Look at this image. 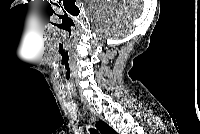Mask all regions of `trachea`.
<instances>
[{
	"label": "trachea",
	"instance_id": "trachea-1",
	"mask_svg": "<svg viewBox=\"0 0 200 134\" xmlns=\"http://www.w3.org/2000/svg\"><path fill=\"white\" fill-rule=\"evenodd\" d=\"M91 134H97V131L94 129H90Z\"/></svg>",
	"mask_w": 200,
	"mask_h": 134
}]
</instances>
